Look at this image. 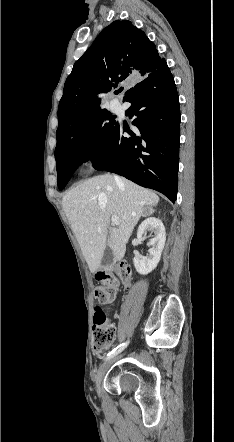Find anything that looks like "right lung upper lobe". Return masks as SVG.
<instances>
[{"label": "right lung upper lobe", "instance_id": "obj_1", "mask_svg": "<svg viewBox=\"0 0 234 442\" xmlns=\"http://www.w3.org/2000/svg\"><path fill=\"white\" fill-rule=\"evenodd\" d=\"M165 62L159 57L155 44L130 21H114L103 29L75 62L66 79L58 107L56 147L65 142L87 116L101 109L99 94L133 77L145 80ZM132 89L125 92L124 99Z\"/></svg>", "mask_w": 234, "mask_h": 442}]
</instances>
